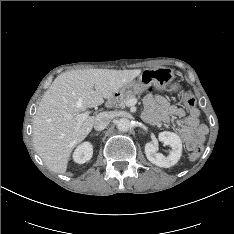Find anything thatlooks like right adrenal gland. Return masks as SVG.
Masks as SVG:
<instances>
[{"mask_svg":"<svg viewBox=\"0 0 234 234\" xmlns=\"http://www.w3.org/2000/svg\"><path fill=\"white\" fill-rule=\"evenodd\" d=\"M91 135H95V136H98V133H95V134H93V133H92Z\"/></svg>","mask_w":234,"mask_h":234,"instance_id":"right-adrenal-gland-1","label":"right adrenal gland"}]
</instances>
